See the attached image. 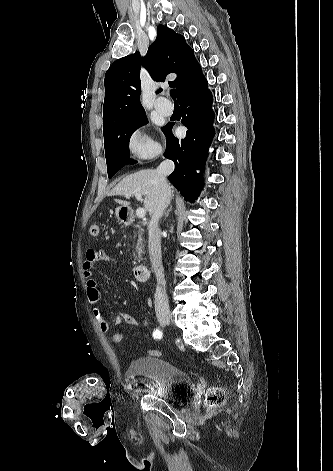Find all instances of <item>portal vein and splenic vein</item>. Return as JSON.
<instances>
[{
    "label": "portal vein and splenic vein",
    "instance_id": "portal-vein-and-splenic-vein-1",
    "mask_svg": "<svg viewBox=\"0 0 333 471\" xmlns=\"http://www.w3.org/2000/svg\"><path fill=\"white\" fill-rule=\"evenodd\" d=\"M131 195H134L137 200H141L142 199V195L140 193H134V194H127V196H131ZM145 214H146V210L144 208H138L136 210V215L137 217L139 218H143L145 217Z\"/></svg>",
    "mask_w": 333,
    "mask_h": 471
}]
</instances>
